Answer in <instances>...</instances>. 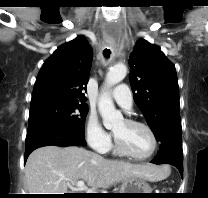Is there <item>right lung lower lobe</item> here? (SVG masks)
<instances>
[{
	"mask_svg": "<svg viewBox=\"0 0 208 198\" xmlns=\"http://www.w3.org/2000/svg\"><path fill=\"white\" fill-rule=\"evenodd\" d=\"M49 145L86 146V142L84 137L63 127H47L36 130L26 136L24 163L33 150Z\"/></svg>",
	"mask_w": 208,
	"mask_h": 198,
	"instance_id": "obj_1",
	"label": "right lung lower lobe"
}]
</instances>
